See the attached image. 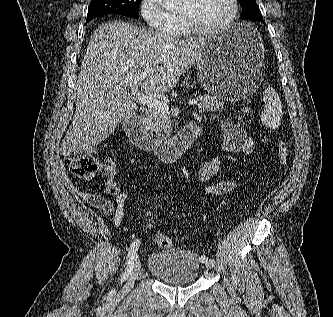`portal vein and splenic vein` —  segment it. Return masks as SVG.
I'll return each instance as SVG.
<instances>
[{
    "label": "portal vein and splenic vein",
    "instance_id": "18ae733b",
    "mask_svg": "<svg viewBox=\"0 0 333 317\" xmlns=\"http://www.w3.org/2000/svg\"><path fill=\"white\" fill-rule=\"evenodd\" d=\"M132 93L135 95L136 101L142 105H146L149 108L155 109L157 111L167 113L169 111V106L164 102L152 96L146 95L144 93H139L137 86H131ZM201 97L190 100L189 105H197Z\"/></svg>",
    "mask_w": 333,
    "mask_h": 317
}]
</instances>
